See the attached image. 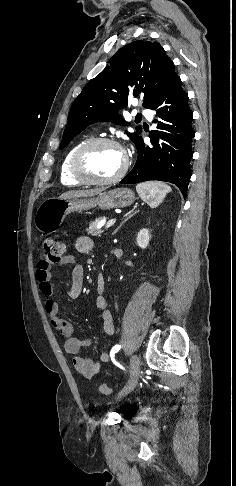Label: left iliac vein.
Listing matches in <instances>:
<instances>
[{
  "instance_id": "left-iliac-vein-1",
  "label": "left iliac vein",
  "mask_w": 236,
  "mask_h": 486,
  "mask_svg": "<svg viewBox=\"0 0 236 486\" xmlns=\"http://www.w3.org/2000/svg\"><path fill=\"white\" fill-rule=\"evenodd\" d=\"M140 376V361L137 355H132L130 359V380L128 384L119 392V397L129 394L137 385Z\"/></svg>"
}]
</instances>
